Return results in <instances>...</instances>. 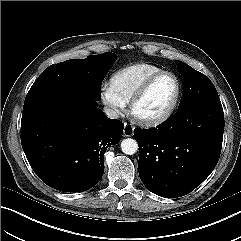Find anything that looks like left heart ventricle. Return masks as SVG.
Listing matches in <instances>:
<instances>
[{"instance_id":"1","label":"left heart ventricle","mask_w":241,"mask_h":241,"mask_svg":"<svg viewBox=\"0 0 241 241\" xmlns=\"http://www.w3.org/2000/svg\"><path fill=\"white\" fill-rule=\"evenodd\" d=\"M176 93V82L171 76L159 78L137 105L136 112L143 117H153L164 112Z\"/></svg>"}]
</instances>
